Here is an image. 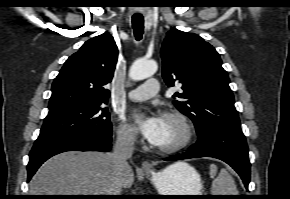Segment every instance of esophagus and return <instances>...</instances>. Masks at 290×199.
Instances as JSON below:
<instances>
[{
    "instance_id": "34e87169",
    "label": "esophagus",
    "mask_w": 290,
    "mask_h": 199,
    "mask_svg": "<svg viewBox=\"0 0 290 199\" xmlns=\"http://www.w3.org/2000/svg\"><path fill=\"white\" fill-rule=\"evenodd\" d=\"M142 168H143V170H145V171H149V170H151L152 165H151L150 162H148V161H144V162L142 163Z\"/></svg>"
}]
</instances>
